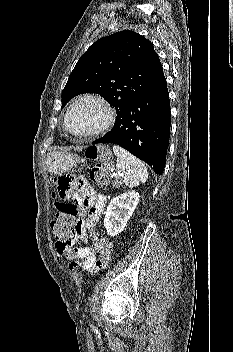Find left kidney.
<instances>
[{
  "label": "left kidney",
  "instance_id": "left-kidney-1",
  "mask_svg": "<svg viewBox=\"0 0 233 352\" xmlns=\"http://www.w3.org/2000/svg\"><path fill=\"white\" fill-rule=\"evenodd\" d=\"M139 197L138 192L131 191L110 201L104 218V226L108 235L116 236L125 229L127 221L139 202Z\"/></svg>",
  "mask_w": 233,
  "mask_h": 352
}]
</instances>
